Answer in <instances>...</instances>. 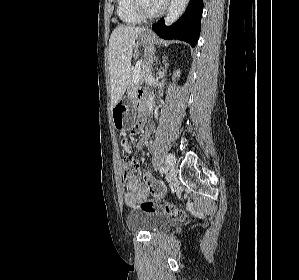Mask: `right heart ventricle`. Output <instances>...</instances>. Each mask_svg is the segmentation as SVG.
<instances>
[{"instance_id":"1","label":"right heart ventricle","mask_w":299,"mask_h":280,"mask_svg":"<svg viewBox=\"0 0 299 280\" xmlns=\"http://www.w3.org/2000/svg\"><path fill=\"white\" fill-rule=\"evenodd\" d=\"M117 14L119 19L127 25H137L142 22L133 11L131 0H117Z\"/></svg>"}]
</instances>
